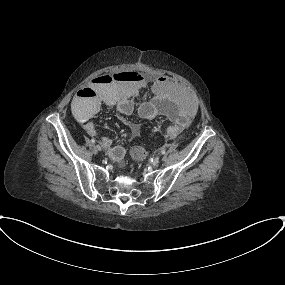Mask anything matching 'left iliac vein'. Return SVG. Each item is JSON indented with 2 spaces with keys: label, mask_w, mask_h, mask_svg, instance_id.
I'll return each instance as SVG.
<instances>
[{
  "label": "left iliac vein",
  "mask_w": 285,
  "mask_h": 285,
  "mask_svg": "<svg viewBox=\"0 0 285 285\" xmlns=\"http://www.w3.org/2000/svg\"><path fill=\"white\" fill-rule=\"evenodd\" d=\"M159 162H160L159 157H156V158L153 159L152 164H153L154 166H157V165L159 164Z\"/></svg>",
  "instance_id": "left-iliac-vein-1"
}]
</instances>
